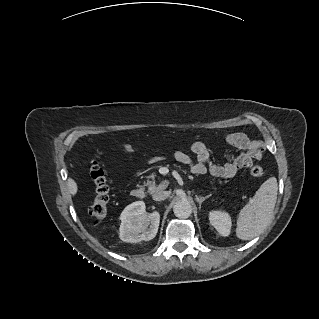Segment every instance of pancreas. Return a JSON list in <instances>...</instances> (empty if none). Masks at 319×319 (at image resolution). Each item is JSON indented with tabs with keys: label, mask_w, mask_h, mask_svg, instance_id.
<instances>
[{
	"label": "pancreas",
	"mask_w": 319,
	"mask_h": 319,
	"mask_svg": "<svg viewBox=\"0 0 319 319\" xmlns=\"http://www.w3.org/2000/svg\"><path fill=\"white\" fill-rule=\"evenodd\" d=\"M154 178H155V175H151L149 177V179H151V180L147 181L148 192L150 194H153V193H155L157 191H160V190H164L168 186V182L167 181H164V182L160 183L159 185H156ZM219 183H222V181H219Z\"/></svg>",
	"instance_id": "1"
}]
</instances>
